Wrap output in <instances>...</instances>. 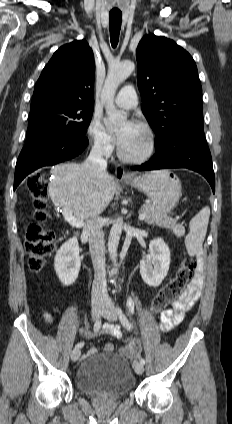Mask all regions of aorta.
<instances>
[{
	"label": "aorta",
	"mask_w": 232,
	"mask_h": 424,
	"mask_svg": "<svg viewBox=\"0 0 232 424\" xmlns=\"http://www.w3.org/2000/svg\"><path fill=\"white\" fill-rule=\"evenodd\" d=\"M135 70V64L132 61H124L111 65L108 69L107 77L103 86L101 100L105 105L107 119L105 125L113 129L127 120L125 112L118 110L114 104V97L118 86L126 80ZM123 222L121 218L115 220L109 233L108 252L114 265L117 262V249L122 232Z\"/></svg>",
	"instance_id": "obj_1"
}]
</instances>
